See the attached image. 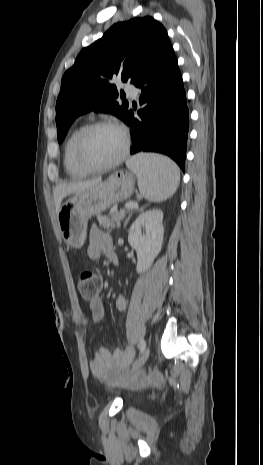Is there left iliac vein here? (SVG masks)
Masks as SVG:
<instances>
[{
	"instance_id": "4c4485c4",
	"label": "left iliac vein",
	"mask_w": 263,
	"mask_h": 465,
	"mask_svg": "<svg viewBox=\"0 0 263 465\" xmlns=\"http://www.w3.org/2000/svg\"><path fill=\"white\" fill-rule=\"evenodd\" d=\"M149 355H150V347H147L143 352L142 354L140 355V357L137 359V361L134 363L132 369H131V373H134L135 371H137L139 368H141L145 362L147 361V359L149 358Z\"/></svg>"
}]
</instances>
